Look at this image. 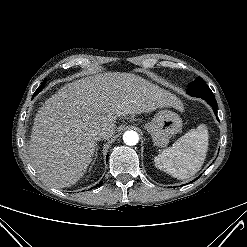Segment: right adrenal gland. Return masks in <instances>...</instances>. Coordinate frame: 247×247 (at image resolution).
I'll return each instance as SVG.
<instances>
[{"label":"right adrenal gland","instance_id":"right-adrenal-gland-1","mask_svg":"<svg viewBox=\"0 0 247 247\" xmlns=\"http://www.w3.org/2000/svg\"><path fill=\"white\" fill-rule=\"evenodd\" d=\"M97 151H98V148L96 149L95 158H94V161H93L92 165L94 164V162H95L96 159H97ZM91 168H92V166L90 167V169H91Z\"/></svg>","mask_w":247,"mask_h":247}]
</instances>
